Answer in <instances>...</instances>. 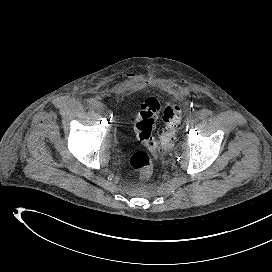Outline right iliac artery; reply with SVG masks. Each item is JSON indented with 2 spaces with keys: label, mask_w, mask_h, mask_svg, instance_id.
I'll list each match as a JSON object with an SVG mask.
<instances>
[{
  "label": "right iliac artery",
  "mask_w": 272,
  "mask_h": 272,
  "mask_svg": "<svg viewBox=\"0 0 272 272\" xmlns=\"http://www.w3.org/2000/svg\"><path fill=\"white\" fill-rule=\"evenodd\" d=\"M88 103H89V108L91 109H94L98 106V101H96L95 99H90Z\"/></svg>",
  "instance_id": "1"
}]
</instances>
